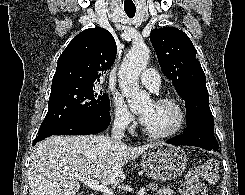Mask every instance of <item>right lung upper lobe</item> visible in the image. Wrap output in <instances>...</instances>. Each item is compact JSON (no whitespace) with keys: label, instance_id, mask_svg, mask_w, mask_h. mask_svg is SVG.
Wrapping results in <instances>:
<instances>
[{"label":"right lung upper lobe","instance_id":"right-lung-upper-lobe-1","mask_svg":"<svg viewBox=\"0 0 245 195\" xmlns=\"http://www.w3.org/2000/svg\"><path fill=\"white\" fill-rule=\"evenodd\" d=\"M116 43L112 34L101 27L82 31L60 55L51 86V92L94 86L113 65Z\"/></svg>","mask_w":245,"mask_h":195}]
</instances>
